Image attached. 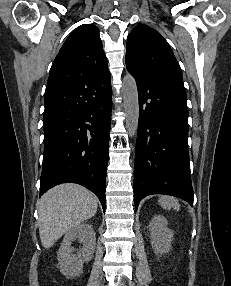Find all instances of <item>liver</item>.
Segmentation results:
<instances>
[{
    "mask_svg": "<svg viewBox=\"0 0 231 286\" xmlns=\"http://www.w3.org/2000/svg\"><path fill=\"white\" fill-rule=\"evenodd\" d=\"M97 206L93 193L77 184H61L47 191L38 203L43 247H52L65 233L93 217Z\"/></svg>",
    "mask_w": 231,
    "mask_h": 286,
    "instance_id": "liver-1",
    "label": "liver"
}]
</instances>
